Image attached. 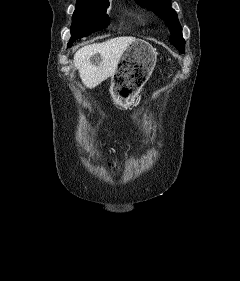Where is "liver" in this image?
Masks as SVG:
<instances>
[{
    "label": "liver",
    "instance_id": "6515ba94",
    "mask_svg": "<svg viewBox=\"0 0 240 281\" xmlns=\"http://www.w3.org/2000/svg\"><path fill=\"white\" fill-rule=\"evenodd\" d=\"M135 40V37L121 36L102 43L86 45L77 50L73 63L84 85L92 89L113 76L124 51ZM97 55L100 60L94 62L93 58Z\"/></svg>",
    "mask_w": 240,
    "mask_h": 281
}]
</instances>
